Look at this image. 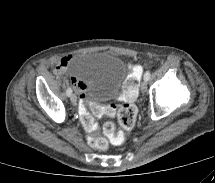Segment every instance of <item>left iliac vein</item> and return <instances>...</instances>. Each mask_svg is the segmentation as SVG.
<instances>
[{"instance_id":"left-iliac-vein-1","label":"left iliac vein","mask_w":215,"mask_h":183,"mask_svg":"<svg viewBox=\"0 0 215 183\" xmlns=\"http://www.w3.org/2000/svg\"><path fill=\"white\" fill-rule=\"evenodd\" d=\"M147 90V81L144 79V81L141 83V92L144 93Z\"/></svg>"}]
</instances>
